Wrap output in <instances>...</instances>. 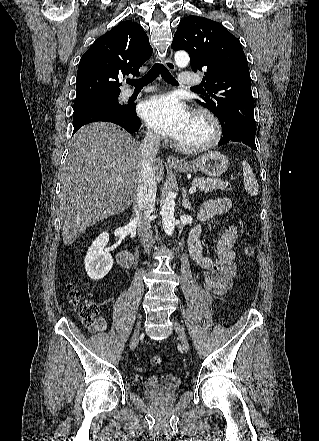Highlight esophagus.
Listing matches in <instances>:
<instances>
[{
	"label": "esophagus",
	"instance_id": "1",
	"mask_svg": "<svg viewBox=\"0 0 319 441\" xmlns=\"http://www.w3.org/2000/svg\"><path fill=\"white\" fill-rule=\"evenodd\" d=\"M164 64L168 69L172 71L176 69L175 63L169 57L164 60ZM167 163L172 166L182 164L181 161L172 154L168 156Z\"/></svg>",
	"mask_w": 319,
	"mask_h": 441
}]
</instances>
